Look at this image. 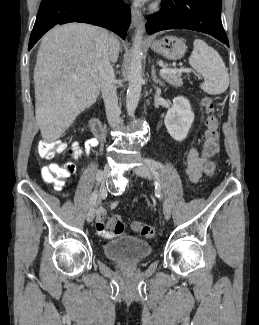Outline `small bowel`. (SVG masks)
Instances as JSON below:
<instances>
[{
    "instance_id": "c3829d8e",
    "label": "small bowel",
    "mask_w": 259,
    "mask_h": 325,
    "mask_svg": "<svg viewBox=\"0 0 259 325\" xmlns=\"http://www.w3.org/2000/svg\"><path fill=\"white\" fill-rule=\"evenodd\" d=\"M97 145H98L97 138L88 139L85 143V153L89 154L92 151V149L95 148ZM81 155H82V150L80 149L79 155L77 157H80ZM211 157L199 156L198 151L194 148L189 150L187 155V161H186V172L191 182L196 183L201 178L203 171L205 172V165L207 162L210 161ZM49 166L43 167L42 173ZM116 205L117 202L114 201L112 203V206H116ZM105 215H106V210L102 207L99 208L97 211L96 229L101 236L110 237V233L105 229V222H104Z\"/></svg>"
}]
</instances>
